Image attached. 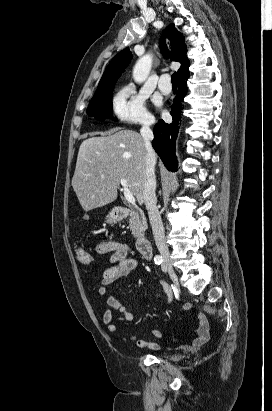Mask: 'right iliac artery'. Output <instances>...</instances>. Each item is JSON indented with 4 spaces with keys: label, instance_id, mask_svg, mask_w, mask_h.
I'll use <instances>...</instances> for the list:
<instances>
[{
    "label": "right iliac artery",
    "instance_id": "82829eb1",
    "mask_svg": "<svg viewBox=\"0 0 272 411\" xmlns=\"http://www.w3.org/2000/svg\"><path fill=\"white\" fill-rule=\"evenodd\" d=\"M154 262L156 265H160L163 262V258L161 256H156Z\"/></svg>",
    "mask_w": 272,
    "mask_h": 411
}]
</instances>
